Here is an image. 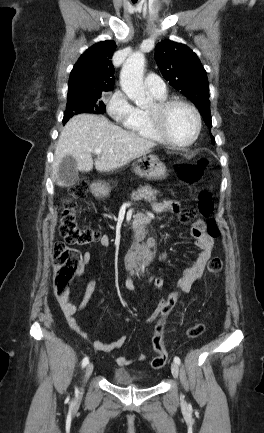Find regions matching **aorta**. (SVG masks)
Segmentation results:
<instances>
[{
    "label": "aorta",
    "mask_w": 264,
    "mask_h": 433,
    "mask_svg": "<svg viewBox=\"0 0 264 433\" xmlns=\"http://www.w3.org/2000/svg\"><path fill=\"white\" fill-rule=\"evenodd\" d=\"M145 57L142 53H133L123 64L120 84L127 97L134 103L143 107L148 104L143 85V71Z\"/></svg>",
    "instance_id": "obj_1"
}]
</instances>
